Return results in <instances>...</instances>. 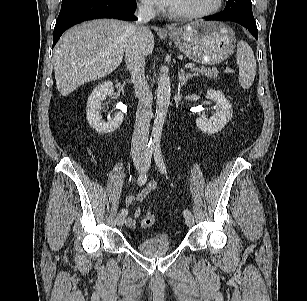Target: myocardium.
Masks as SVG:
<instances>
[{
	"label": "myocardium",
	"mask_w": 307,
	"mask_h": 301,
	"mask_svg": "<svg viewBox=\"0 0 307 301\" xmlns=\"http://www.w3.org/2000/svg\"><path fill=\"white\" fill-rule=\"evenodd\" d=\"M224 5V0H215L213 5L207 9L192 11V12H172V15L180 19H200L208 16H212L219 12Z\"/></svg>",
	"instance_id": "1"
}]
</instances>
